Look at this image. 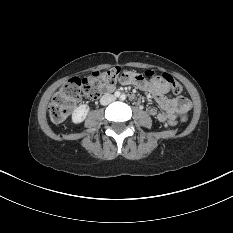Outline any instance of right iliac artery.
Returning a JSON list of instances; mask_svg holds the SVG:
<instances>
[{
	"instance_id": "82829eb1",
	"label": "right iliac artery",
	"mask_w": 233,
	"mask_h": 233,
	"mask_svg": "<svg viewBox=\"0 0 233 233\" xmlns=\"http://www.w3.org/2000/svg\"><path fill=\"white\" fill-rule=\"evenodd\" d=\"M116 97H119L120 96V92H115V94H114Z\"/></svg>"
}]
</instances>
